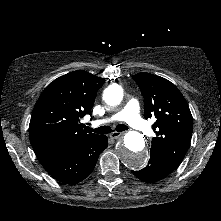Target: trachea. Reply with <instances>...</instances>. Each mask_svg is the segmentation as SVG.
I'll list each match as a JSON object with an SVG mask.
<instances>
[{"label":"trachea","mask_w":221,"mask_h":221,"mask_svg":"<svg viewBox=\"0 0 221 221\" xmlns=\"http://www.w3.org/2000/svg\"><path fill=\"white\" fill-rule=\"evenodd\" d=\"M127 129H128V127L124 124H119L115 128V130L118 131V132H122V131H125ZM86 130L91 131V132H95V133H98V134H108V133L112 132L111 127H109V126H101L99 128H95V129H92V128L87 126Z\"/></svg>","instance_id":"3493384b"}]
</instances>
